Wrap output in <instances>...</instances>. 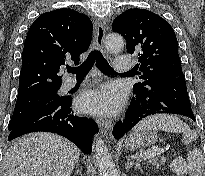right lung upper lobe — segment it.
<instances>
[{
  "mask_svg": "<svg viewBox=\"0 0 205 176\" xmlns=\"http://www.w3.org/2000/svg\"><path fill=\"white\" fill-rule=\"evenodd\" d=\"M91 37V20L77 11L57 9L39 16L25 39L18 97L60 86V66L69 60L78 64Z\"/></svg>",
  "mask_w": 205,
  "mask_h": 176,
  "instance_id": "right-lung-upper-lobe-1",
  "label": "right lung upper lobe"
}]
</instances>
